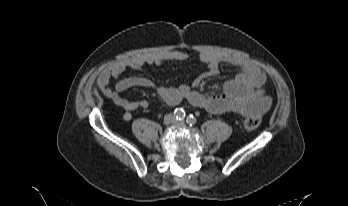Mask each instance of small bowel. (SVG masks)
I'll return each instance as SVG.
<instances>
[{
	"instance_id": "1",
	"label": "small bowel",
	"mask_w": 348,
	"mask_h": 206,
	"mask_svg": "<svg viewBox=\"0 0 348 206\" xmlns=\"http://www.w3.org/2000/svg\"><path fill=\"white\" fill-rule=\"evenodd\" d=\"M186 58L187 53L184 51H169L138 54L122 59L100 73L97 80L98 90L104 97L122 108V117L125 121L132 118L133 111L145 109L148 106L146 100L133 101L120 95L121 92L137 86L157 88L159 96L169 106H176L181 100L186 99L193 106L215 114L233 112L248 117L263 114L270 109L272 102L264 91L265 74L256 64L239 56H222L208 51L201 52L199 59L206 65L207 69L191 86L184 84L176 88L157 87L153 81L143 76L121 78V74L126 68L141 70L147 65L180 62ZM222 63L234 65L240 69V72L225 83L222 94L206 95L199 92L201 80L216 75ZM112 79H116L114 87L110 85Z\"/></svg>"
}]
</instances>
